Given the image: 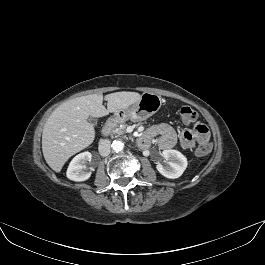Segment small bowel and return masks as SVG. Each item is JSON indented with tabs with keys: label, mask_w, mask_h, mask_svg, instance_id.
I'll use <instances>...</instances> for the list:
<instances>
[{
	"label": "small bowel",
	"mask_w": 265,
	"mask_h": 265,
	"mask_svg": "<svg viewBox=\"0 0 265 265\" xmlns=\"http://www.w3.org/2000/svg\"><path fill=\"white\" fill-rule=\"evenodd\" d=\"M158 137V144L163 149H170L177 143V133L168 124H159L148 129L141 137L144 146H148L151 140ZM209 140V131L201 122L193 124L191 129H186L179 135V141L184 148H191L195 142L206 144Z\"/></svg>",
	"instance_id": "obj_1"
}]
</instances>
